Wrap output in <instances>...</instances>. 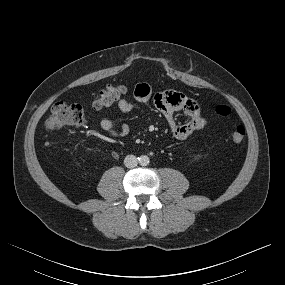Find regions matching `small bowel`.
<instances>
[{"instance_id":"1","label":"small bowel","mask_w":285,"mask_h":285,"mask_svg":"<svg viewBox=\"0 0 285 285\" xmlns=\"http://www.w3.org/2000/svg\"><path fill=\"white\" fill-rule=\"evenodd\" d=\"M134 97L140 104L153 103L155 105L168 121L170 135L173 140H185L207 124V120L202 115L196 101L180 92L162 91L153 93L148 84L139 83L135 86ZM117 106L122 113H129L133 109V103L126 98L120 99ZM179 111L187 116L188 120L185 123L179 124L175 121L174 115ZM100 127L108 136L114 138L124 137L130 132L127 123H122L120 128L116 129L113 121L107 116L101 118Z\"/></svg>"}]
</instances>
